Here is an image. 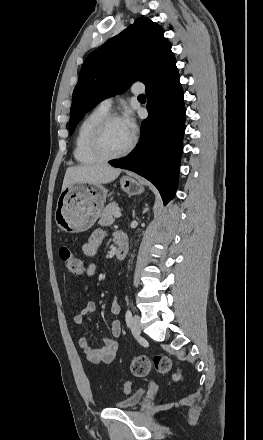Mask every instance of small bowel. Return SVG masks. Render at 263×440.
<instances>
[{
  "label": "small bowel",
  "instance_id": "small-bowel-1",
  "mask_svg": "<svg viewBox=\"0 0 263 440\" xmlns=\"http://www.w3.org/2000/svg\"><path fill=\"white\" fill-rule=\"evenodd\" d=\"M106 232L104 230L94 231L87 241L82 246V253L87 259H95L98 255L99 247L106 239ZM119 238H125L122 235L115 237L116 241ZM96 266L91 263L86 271L88 277H92L95 274ZM86 290V288L84 289ZM96 310V305L93 301L87 300L84 302L80 311L75 315L74 320L77 324L83 325L85 323L86 316L93 314ZM110 312L114 317L111 323V335L102 339V346L95 348L91 344V338L89 336H83L79 339V346L86 358L95 364L98 363H110L117 355L119 344L116 340L121 334V323L116 316L120 313V304L117 298H114L111 304Z\"/></svg>",
  "mask_w": 263,
  "mask_h": 440
}]
</instances>
